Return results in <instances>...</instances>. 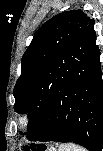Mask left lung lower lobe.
Segmentation results:
<instances>
[{
    "mask_svg": "<svg viewBox=\"0 0 103 151\" xmlns=\"http://www.w3.org/2000/svg\"><path fill=\"white\" fill-rule=\"evenodd\" d=\"M53 69L56 79L44 72L34 79L27 110L29 140L73 141L102 151L103 80L94 29L61 54Z\"/></svg>",
    "mask_w": 103,
    "mask_h": 151,
    "instance_id": "obj_1",
    "label": "left lung lower lobe"
}]
</instances>
